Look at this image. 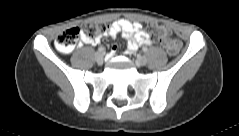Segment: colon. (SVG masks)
Here are the masks:
<instances>
[{
	"label": "colon",
	"mask_w": 239,
	"mask_h": 136,
	"mask_svg": "<svg viewBox=\"0 0 239 136\" xmlns=\"http://www.w3.org/2000/svg\"><path fill=\"white\" fill-rule=\"evenodd\" d=\"M148 30L160 42L166 52L170 55H176L181 48V43L168 35L165 26L156 23H150ZM84 33L90 38H98L107 31V25L102 22H88L83 25ZM82 30L78 27L70 28L59 34L55 40L56 48L63 53H67L75 48L79 41Z\"/></svg>",
	"instance_id": "5ec220e1"
}]
</instances>
